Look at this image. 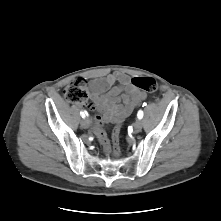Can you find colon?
<instances>
[{"label": "colon", "mask_w": 221, "mask_h": 221, "mask_svg": "<svg viewBox=\"0 0 221 221\" xmlns=\"http://www.w3.org/2000/svg\"><path fill=\"white\" fill-rule=\"evenodd\" d=\"M132 84L140 89L148 92H153L156 89L155 80L151 77H135L132 78ZM64 96L67 101L76 104L87 103L88 91L86 81L82 78L74 80L69 84L65 90ZM120 124H116L112 129V144L107 139L106 133L103 129L102 123H99L96 127V133L100 143L103 146L104 152L109 155L113 154L118 156L120 154Z\"/></svg>", "instance_id": "1"}]
</instances>
